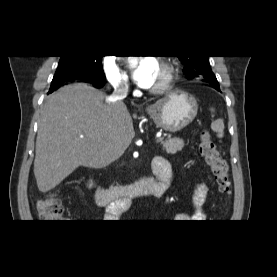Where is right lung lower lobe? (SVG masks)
I'll use <instances>...</instances> for the list:
<instances>
[{
    "label": "right lung lower lobe",
    "mask_w": 277,
    "mask_h": 277,
    "mask_svg": "<svg viewBox=\"0 0 277 277\" xmlns=\"http://www.w3.org/2000/svg\"><path fill=\"white\" fill-rule=\"evenodd\" d=\"M84 81H86L88 83H91V84L95 85L96 87H102L103 86L102 83H99V82H93V81H90V80H84ZM50 93H52V92H50Z\"/></svg>",
    "instance_id": "obj_1"
}]
</instances>
